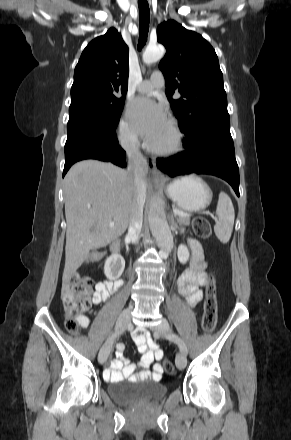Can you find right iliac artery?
I'll return each instance as SVG.
<instances>
[{"instance_id": "right-iliac-artery-1", "label": "right iliac artery", "mask_w": 291, "mask_h": 440, "mask_svg": "<svg viewBox=\"0 0 291 440\" xmlns=\"http://www.w3.org/2000/svg\"><path fill=\"white\" fill-rule=\"evenodd\" d=\"M122 331H123V330H122ZM118 334H119V332H118ZM113 336H117V334L112 335V337H113ZM110 339H111V338H110Z\"/></svg>"}]
</instances>
